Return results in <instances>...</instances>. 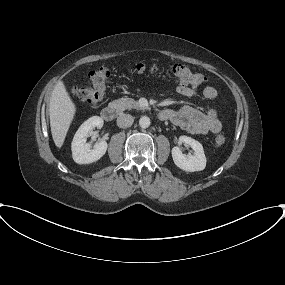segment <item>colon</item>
Segmentation results:
<instances>
[{
  "instance_id": "5ec220e1",
  "label": "colon",
  "mask_w": 285,
  "mask_h": 285,
  "mask_svg": "<svg viewBox=\"0 0 285 285\" xmlns=\"http://www.w3.org/2000/svg\"><path fill=\"white\" fill-rule=\"evenodd\" d=\"M129 71L134 74L142 75L145 73H159L165 71L180 84L188 86H201L207 82V77L201 73H196L182 64H171L167 67H160L156 64L147 66L144 63H135L129 67ZM111 75L107 67H99L89 73L88 84L74 86L70 93L73 97L89 104L96 106L104 97L106 83ZM227 142V138L219 134L214 139L217 147H222Z\"/></svg>"
}]
</instances>
